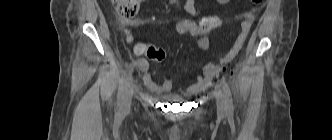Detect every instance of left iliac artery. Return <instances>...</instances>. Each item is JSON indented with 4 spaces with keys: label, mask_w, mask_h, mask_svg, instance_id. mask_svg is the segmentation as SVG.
<instances>
[{
    "label": "left iliac artery",
    "mask_w": 332,
    "mask_h": 140,
    "mask_svg": "<svg viewBox=\"0 0 332 140\" xmlns=\"http://www.w3.org/2000/svg\"><path fill=\"white\" fill-rule=\"evenodd\" d=\"M221 82L223 85V91L225 94V101H226L227 108L230 112H233V100H232L230 88L224 77L222 78Z\"/></svg>",
    "instance_id": "obj_1"
}]
</instances>
